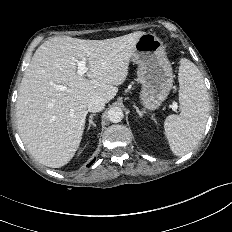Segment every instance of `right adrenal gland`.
<instances>
[{
    "label": "right adrenal gland",
    "instance_id": "right-adrenal-gland-1",
    "mask_svg": "<svg viewBox=\"0 0 232 232\" xmlns=\"http://www.w3.org/2000/svg\"><path fill=\"white\" fill-rule=\"evenodd\" d=\"M95 115H96V114H91V115L89 116V124H88V128H87L88 131L90 130L91 126H93V127L96 126L95 123L93 122V117H94Z\"/></svg>",
    "mask_w": 232,
    "mask_h": 232
}]
</instances>
